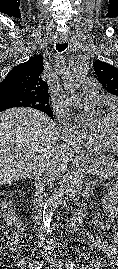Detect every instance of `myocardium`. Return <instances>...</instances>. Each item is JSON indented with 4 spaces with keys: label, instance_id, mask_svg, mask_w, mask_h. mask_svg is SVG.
I'll return each instance as SVG.
<instances>
[{
    "label": "myocardium",
    "instance_id": "f54148a6",
    "mask_svg": "<svg viewBox=\"0 0 118 269\" xmlns=\"http://www.w3.org/2000/svg\"><path fill=\"white\" fill-rule=\"evenodd\" d=\"M118 114V106H112L105 114V116H113ZM109 147L118 153V143L111 141L107 138L97 137L96 138V149H101L103 147Z\"/></svg>",
    "mask_w": 118,
    "mask_h": 269
}]
</instances>
